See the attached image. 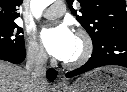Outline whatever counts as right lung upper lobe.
<instances>
[{
	"label": "right lung upper lobe",
	"mask_w": 127,
	"mask_h": 92,
	"mask_svg": "<svg viewBox=\"0 0 127 92\" xmlns=\"http://www.w3.org/2000/svg\"><path fill=\"white\" fill-rule=\"evenodd\" d=\"M23 0H0V24L14 23L19 17L17 7L22 4Z\"/></svg>",
	"instance_id": "right-lung-upper-lobe-1"
}]
</instances>
